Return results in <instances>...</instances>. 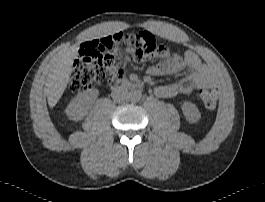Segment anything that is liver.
<instances>
[{
	"label": "liver",
	"instance_id": "1",
	"mask_svg": "<svg viewBox=\"0 0 265 202\" xmlns=\"http://www.w3.org/2000/svg\"><path fill=\"white\" fill-rule=\"evenodd\" d=\"M79 45L74 44L62 53L54 64L47 82L48 105L53 108L62 97L72 73L73 61L78 55Z\"/></svg>",
	"mask_w": 265,
	"mask_h": 202
}]
</instances>
